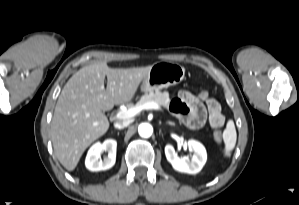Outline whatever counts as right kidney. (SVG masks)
Here are the masks:
<instances>
[{"label":"right kidney","instance_id":"1","mask_svg":"<svg viewBox=\"0 0 299 205\" xmlns=\"http://www.w3.org/2000/svg\"><path fill=\"white\" fill-rule=\"evenodd\" d=\"M117 142L113 139H107L103 143L97 142L89 149L85 165L90 171H101L111 168L116 160ZM108 152V156L101 159V154Z\"/></svg>","mask_w":299,"mask_h":205}]
</instances>
